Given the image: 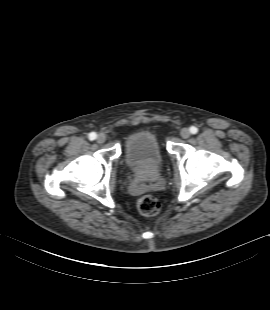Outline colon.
Returning <instances> with one entry per match:
<instances>
[{"label":"colon","instance_id":"1","mask_svg":"<svg viewBox=\"0 0 270 310\" xmlns=\"http://www.w3.org/2000/svg\"><path fill=\"white\" fill-rule=\"evenodd\" d=\"M137 208L145 216H155L160 212L161 205L157 198L147 195L138 199Z\"/></svg>","mask_w":270,"mask_h":310}]
</instances>
